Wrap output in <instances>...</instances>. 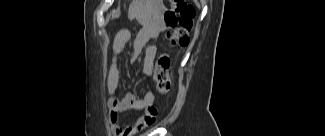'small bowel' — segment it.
Wrapping results in <instances>:
<instances>
[{"mask_svg":"<svg viewBox=\"0 0 325 136\" xmlns=\"http://www.w3.org/2000/svg\"><path fill=\"white\" fill-rule=\"evenodd\" d=\"M161 29L162 26L157 17L151 16L142 24L133 40L134 56L137 57L144 51L143 73L147 77L152 73L153 61L157 53V47L149 43L159 37ZM130 38L131 31L129 29H122L115 36L111 65L106 79L110 120L116 136H134L140 133L155 123L157 115V110L153 105L155 94L151 90L147 91L143 96H139L134 92L123 97L116 95L120 80L118 59ZM126 110H142L145 113L134 124L124 127L119 124L118 117L121 112Z\"/></svg>","mask_w":325,"mask_h":136,"instance_id":"small-bowel-1","label":"small bowel"}]
</instances>
